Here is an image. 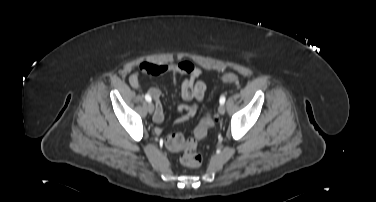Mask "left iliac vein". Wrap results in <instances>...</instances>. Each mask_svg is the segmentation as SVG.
<instances>
[{
  "mask_svg": "<svg viewBox=\"0 0 376 202\" xmlns=\"http://www.w3.org/2000/svg\"><path fill=\"white\" fill-rule=\"evenodd\" d=\"M218 112L223 115L225 113V106L223 104H221L219 107H218Z\"/></svg>",
  "mask_w": 376,
  "mask_h": 202,
  "instance_id": "left-iliac-vein-1",
  "label": "left iliac vein"
}]
</instances>
